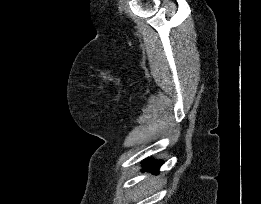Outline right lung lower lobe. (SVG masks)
Returning <instances> with one entry per match:
<instances>
[{"mask_svg":"<svg viewBox=\"0 0 261 204\" xmlns=\"http://www.w3.org/2000/svg\"><path fill=\"white\" fill-rule=\"evenodd\" d=\"M162 165L161 161H150L144 164L143 166V170L148 171V170H152V171H157L158 168Z\"/></svg>","mask_w":261,"mask_h":204,"instance_id":"obj_1","label":"right lung lower lobe"}]
</instances>
